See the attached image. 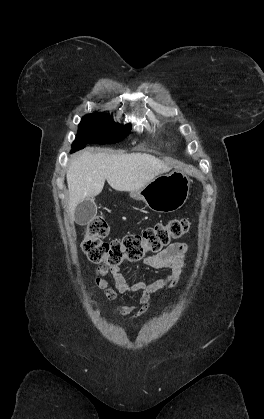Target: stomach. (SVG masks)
Returning <instances> with one entry per match:
<instances>
[{
    "instance_id": "1",
    "label": "stomach",
    "mask_w": 264,
    "mask_h": 419,
    "mask_svg": "<svg viewBox=\"0 0 264 419\" xmlns=\"http://www.w3.org/2000/svg\"><path fill=\"white\" fill-rule=\"evenodd\" d=\"M190 180L180 170L161 174L139 190L131 191L130 197L141 200L153 211L170 213L180 209L189 196Z\"/></svg>"
}]
</instances>
